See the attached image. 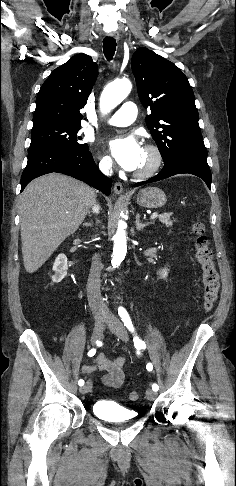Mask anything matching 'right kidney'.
Returning a JSON list of instances; mask_svg holds the SVG:
<instances>
[{
    "instance_id": "1",
    "label": "right kidney",
    "mask_w": 236,
    "mask_h": 486,
    "mask_svg": "<svg viewBox=\"0 0 236 486\" xmlns=\"http://www.w3.org/2000/svg\"><path fill=\"white\" fill-rule=\"evenodd\" d=\"M52 270L54 275H52V281L54 283L61 282L67 275L68 265L67 257L64 254H59L55 259Z\"/></svg>"
}]
</instances>
